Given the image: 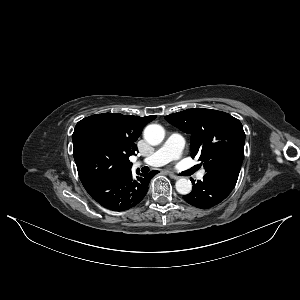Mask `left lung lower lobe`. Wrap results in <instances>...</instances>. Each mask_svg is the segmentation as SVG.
<instances>
[{
    "label": "left lung lower lobe",
    "instance_id": "1",
    "mask_svg": "<svg viewBox=\"0 0 300 300\" xmlns=\"http://www.w3.org/2000/svg\"><path fill=\"white\" fill-rule=\"evenodd\" d=\"M193 189L183 199L198 208L209 209L223 201L234 187L213 178L203 177L196 183L192 180Z\"/></svg>",
    "mask_w": 300,
    "mask_h": 300
}]
</instances>
